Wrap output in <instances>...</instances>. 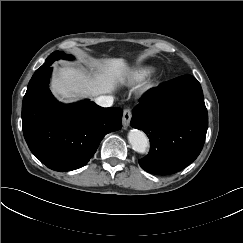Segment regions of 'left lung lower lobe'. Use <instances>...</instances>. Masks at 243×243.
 <instances>
[{
  "mask_svg": "<svg viewBox=\"0 0 243 243\" xmlns=\"http://www.w3.org/2000/svg\"><path fill=\"white\" fill-rule=\"evenodd\" d=\"M132 127L150 139L149 154L139 160L147 172L176 173L200 154L208 128L202 88L184 75L147 91L132 111Z\"/></svg>",
  "mask_w": 243,
  "mask_h": 243,
  "instance_id": "0a47b994",
  "label": "left lung lower lobe"
}]
</instances>
